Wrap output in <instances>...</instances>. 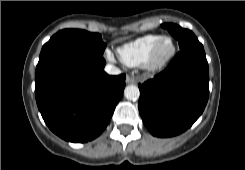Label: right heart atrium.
<instances>
[{
  "instance_id": "d8ad5b80",
  "label": "right heart atrium",
  "mask_w": 245,
  "mask_h": 170,
  "mask_svg": "<svg viewBox=\"0 0 245 170\" xmlns=\"http://www.w3.org/2000/svg\"><path fill=\"white\" fill-rule=\"evenodd\" d=\"M107 55L110 59L112 58L110 52H107Z\"/></svg>"
}]
</instances>
